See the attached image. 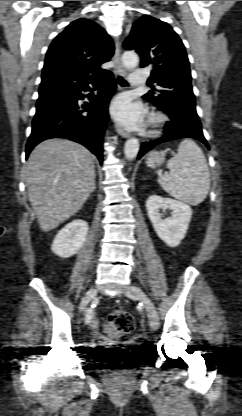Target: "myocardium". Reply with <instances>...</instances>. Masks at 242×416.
Masks as SVG:
<instances>
[{"label":"myocardium","mask_w":242,"mask_h":416,"mask_svg":"<svg viewBox=\"0 0 242 416\" xmlns=\"http://www.w3.org/2000/svg\"><path fill=\"white\" fill-rule=\"evenodd\" d=\"M166 122L165 115L161 113H151L147 121V131L149 134L158 133Z\"/></svg>","instance_id":"1"}]
</instances>
